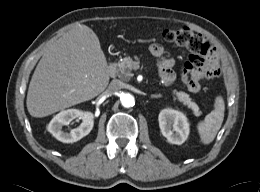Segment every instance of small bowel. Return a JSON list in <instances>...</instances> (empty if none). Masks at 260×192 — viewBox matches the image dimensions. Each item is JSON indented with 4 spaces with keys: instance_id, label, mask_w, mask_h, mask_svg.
<instances>
[{
    "instance_id": "c3829d8e",
    "label": "small bowel",
    "mask_w": 260,
    "mask_h": 192,
    "mask_svg": "<svg viewBox=\"0 0 260 192\" xmlns=\"http://www.w3.org/2000/svg\"><path fill=\"white\" fill-rule=\"evenodd\" d=\"M150 53L157 59V66L161 80L164 85H170L175 80V72L173 71L174 60L164 57V48L159 43H154L150 46ZM214 63L208 62L197 74V87L192 92L200 90V80L211 79L220 76L221 70L216 53L214 54Z\"/></svg>"
}]
</instances>
